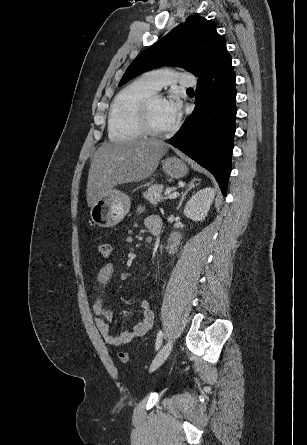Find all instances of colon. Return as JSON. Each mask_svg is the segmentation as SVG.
<instances>
[{
    "mask_svg": "<svg viewBox=\"0 0 307 445\" xmlns=\"http://www.w3.org/2000/svg\"><path fill=\"white\" fill-rule=\"evenodd\" d=\"M97 250L98 253L102 256V257H109L110 253H111V246L109 243L105 242V241H99L97 243ZM119 358L121 360V362L123 363H129L131 360V357L128 353L126 352H122L119 354Z\"/></svg>",
    "mask_w": 307,
    "mask_h": 445,
    "instance_id": "1",
    "label": "colon"
}]
</instances>
